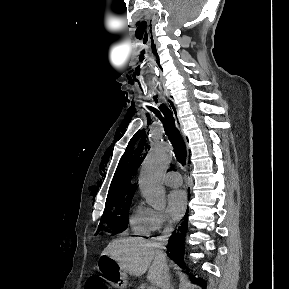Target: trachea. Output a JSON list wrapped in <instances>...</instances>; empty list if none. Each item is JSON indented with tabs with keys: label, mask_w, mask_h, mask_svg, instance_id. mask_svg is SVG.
<instances>
[{
	"label": "trachea",
	"mask_w": 289,
	"mask_h": 289,
	"mask_svg": "<svg viewBox=\"0 0 289 289\" xmlns=\"http://www.w3.org/2000/svg\"><path fill=\"white\" fill-rule=\"evenodd\" d=\"M161 112L163 116H159V118L164 123L165 132L173 145L176 159L181 165L184 166L186 164L187 157L185 142L179 130L175 126V121L171 110L168 107H164L162 108Z\"/></svg>",
	"instance_id": "1"
}]
</instances>
